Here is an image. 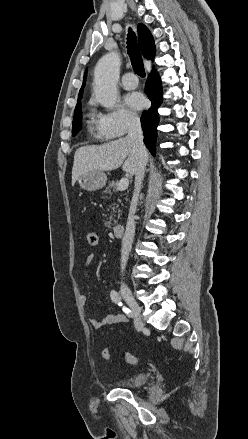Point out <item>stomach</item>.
<instances>
[{"mask_svg": "<svg viewBox=\"0 0 248 439\" xmlns=\"http://www.w3.org/2000/svg\"><path fill=\"white\" fill-rule=\"evenodd\" d=\"M107 176L103 171H90L79 177L78 183L80 187L87 191H96L105 186Z\"/></svg>", "mask_w": 248, "mask_h": 439, "instance_id": "1", "label": "stomach"}]
</instances>
